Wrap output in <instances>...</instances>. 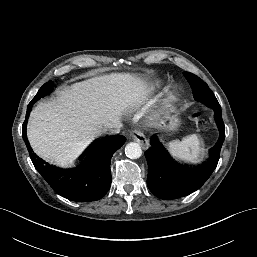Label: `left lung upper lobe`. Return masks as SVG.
I'll return each mask as SVG.
<instances>
[{
	"label": "left lung upper lobe",
	"instance_id": "obj_1",
	"mask_svg": "<svg viewBox=\"0 0 257 257\" xmlns=\"http://www.w3.org/2000/svg\"><path fill=\"white\" fill-rule=\"evenodd\" d=\"M183 74L192 88L195 100L201 101L213 109L221 108L215 95L203 80L189 72Z\"/></svg>",
	"mask_w": 257,
	"mask_h": 257
}]
</instances>
